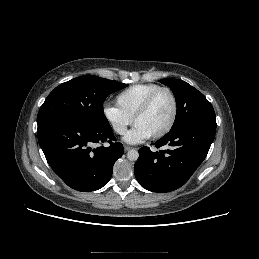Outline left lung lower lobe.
<instances>
[{
    "instance_id": "left-lung-lower-lobe-1",
    "label": "left lung lower lobe",
    "mask_w": 259,
    "mask_h": 259,
    "mask_svg": "<svg viewBox=\"0 0 259 259\" xmlns=\"http://www.w3.org/2000/svg\"><path fill=\"white\" fill-rule=\"evenodd\" d=\"M216 127L193 122L171 129L155 146L169 149L152 152L139 149L134 166L137 181L153 192H170L184 185L203 162L214 140Z\"/></svg>"
}]
</instances>
